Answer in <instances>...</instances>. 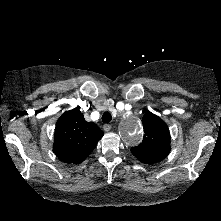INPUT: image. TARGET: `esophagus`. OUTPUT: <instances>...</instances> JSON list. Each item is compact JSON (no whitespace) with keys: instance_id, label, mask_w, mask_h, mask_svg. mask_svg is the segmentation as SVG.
<instances>
[{"instance_id":"1","label":"esophagus","mask_w":221,"mask_h":221,"mask_svg":"<svg viewBox=\"0 0 221 221\" xmlns=\"http://www.w3.org/2000/svg\"><path fill=\"white\" fill-rule=\"evenodd\" d=\"M103 129H104L105 132H109V131L112 129V125H110V124H105V125L103 126Z\"/></svg>"}]
</instances>
